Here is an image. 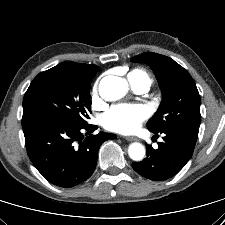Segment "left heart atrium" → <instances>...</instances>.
Instances as JSON below:
<instances>
[{"label": "left heart atrium", "instance_id": "left-heart-atrium-1", "mask_svg": "<svg viewBox=\"0 0 225 225\" xmlns=\"http://www.w3.org/2000/svg\"><path fill=\"white\" fill-rule=\"evenodd\" d=\"M150 115L142 104H119L113 106L102 117L104 128L109 131L130 134L136 131Z\"/></svg>", "mask_w": 225, "mask_h": 225}]
</instances>
